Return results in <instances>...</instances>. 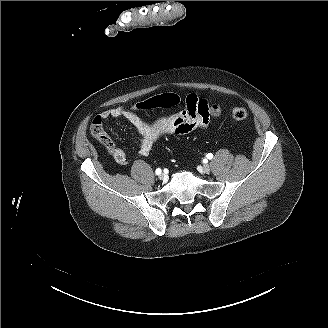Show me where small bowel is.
<instances>
[{
    "label": "small bowel",
    "mask_w": 328,
    "mask_h": 328,
    "mask_svg": "<svg viewBox=\"0 0 328 328\" xmlns=\"http://www.w3.org/2000/svg\"><path fill=\"white\" fill-rule=\"evenodd\" d=\"M221 108L217 103H210L195 94H189L183 101L182 108L175 114L162 118L157 126L140 118L131 109L116 107L102 112V120L110 118L125 119L135 130L140 140L139 154L148 156L153 145L164 136H180L208 127L210 120L219 116ZM109 152L118 164L126 162L124 149L115 148Z\"/></svg>",
    "instance_id": "1"
}]
</instances>
